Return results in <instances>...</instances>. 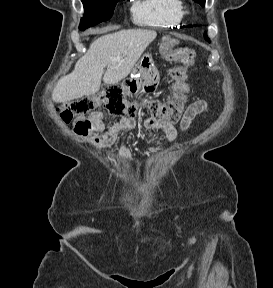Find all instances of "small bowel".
Returning <instances> with one entry per match:
<instances>
[{"mask_svg":"<svg viewBox=\"0 0 273 288\" xmlns=\"http://www.w3.org/2000/svg\"><path fill=\"white\" fill-rule=\"evenodd\" d=\"M209 107L205 100L198 99L192 102L185 110L182 119L179 123V130L185 132L192 121L200 114L208 112ZM140 110L128 117H123L115 122L110 128L106 129L105 124L100 119H95L94 127L92 131L87 135V139L90 143L98 148H105L112 146L117 136L122 132L133 131L136 127V117L139 115ZM146 130L151 136L155 135L159 131H162L165 136L173 141L177 137V129L175 126L164 120H159L153 117H148L144 120ZM124 156L130 158L129 152L124 147Z\"/></svg>","mask_w":273,"mask_h":288,"instance_id":"obj_1","label":"small bowel"}]
</instances>
